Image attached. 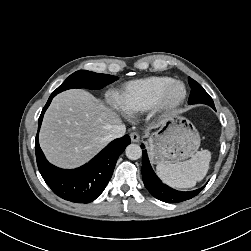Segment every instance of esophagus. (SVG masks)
<instances>
[{"label": "esophagus", "mask_w": 251, "mask_h": 251, "mask_svg": "<svg viewBox=\"0 0 251 251\" xmlns=\"http://www.w3.org/2000/svg\"><path fill=\"white\" fill-rule=\"evenodd\" d=\"M130 137H131L132 142H139L140 141V135L137 132H132L130 134Z\"/></svg>", "instance_id": "1"}]
</instances>
